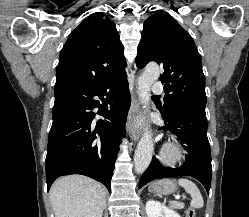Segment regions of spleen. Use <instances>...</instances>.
<instances>
[{"label":"spleen","instance_id":"3e777b00","mask_svg":"<svg viewBox=\"0 0 249 217\" xmlns=\"http://www.w3.org/2000/svg\"><path fill=\"white\" fill-rule=\"evenodd\" d=\"M180 186H182L187 193L192 197L190 205L194 208H202L204 205L202 195L196 186V184L186 178H180L178 180Z\"/></svg>","mask_w":249,"mask_h":217}]
</instances>
